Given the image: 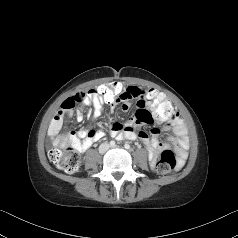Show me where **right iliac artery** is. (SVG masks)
Returning a JSON list of instances; mask_svg holds the SVG:
<instances>
[{"mask_svg": "<svg viewBox=\"0 0 238 238\" xmlns=\"http://www.w3.org/2000/svg\"><path fill=\"white\" fill-rule=\"evenodd\" d=\"M115 144H116V143H115V141H113V140H112V141H110V146H111V147H114V146H115Z\"/></svg>", "mask_w": 238, "mask_h": 238, "instance_id": "right-iliac-artery-1", "label": "right iliac artery"}]
</instances>
